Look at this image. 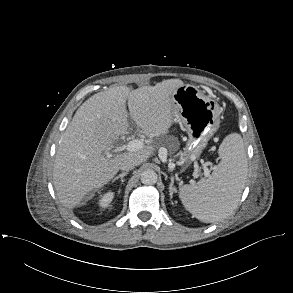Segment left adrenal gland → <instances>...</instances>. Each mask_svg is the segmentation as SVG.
<instances>
[{
    "label": "left adrenal gland",
    "instance_id": "obj_1",
    "mask_svg": "<svg viewBox=\"0 0 293 293\" xmlns=\"http://www.w3.org/2000/svg\"><path fill=\"white\" fill-rule=\"evenodd\" d=\"M173 184H174V178L171 177V183L169 185L170 198H172L173 194L177 192L176 188L173 187Z\"/></svg>",
    "mask_w": 293,
    "mask_h": 293
}]
</instances>
